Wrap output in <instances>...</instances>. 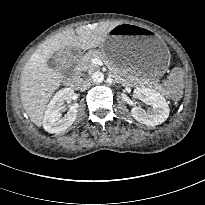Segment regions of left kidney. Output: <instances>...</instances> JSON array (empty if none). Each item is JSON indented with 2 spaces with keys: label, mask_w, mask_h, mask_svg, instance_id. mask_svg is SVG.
<instances>
[{
  "label": "left kidney",
  "mask_w": 205,
  "mask_h": 205,
  "mask_svg": "<svg viewBox=\"0 0 205 205\" xmlns=\"http://www.w3.org/2000/svg\"><path fill=\"white\" fill-rule=\"evenodd\" d=\"M135 98L139 100H145L153 108L145 111L138 107L131 109V114L138 122L155 126L163 123L169 116V107L164 98L158 91L148 87H137L134 90Z\"/></svg>",
  "instance_id": "5707ae66"
}]
</instances>
